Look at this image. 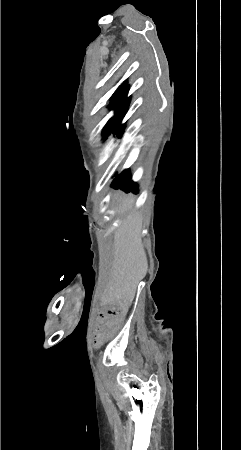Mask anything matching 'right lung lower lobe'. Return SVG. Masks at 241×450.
I'll return each instance as SVG.
<instances>
[{
	"mask_svg": "<svg viewBox=\"0 0 241 450\" xmlns=\"http://www.w3.org/2000/svg\"><path fill=\"white\" fill-rule=\"evenodd\" d=\"M112 187L120 188L125 192L133 191L138 193L137 187L131 181L130 170L123 171L120 175H118L114 181L112 182Z\"/></svg>",
	"mask_w": 241,
	"mask_h": 450,
	"instance_id": "98d812e1",
	"label": "right lung lower lobe"
}]
</instances>
